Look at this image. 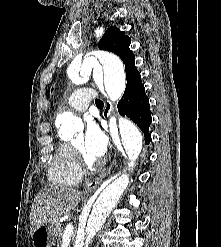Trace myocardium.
Listing matches in <instances>:
<instances>
[{
	"label": "myocardium",
	"mask_w": 221,
	"mask_h": 247,
	"mask_svg": "<svg viewBox=\"0 0 221 247\" xmlns=\"http://www.w3.org/2000/svg\"><path fill=\"white\" fill-rule=\"evenodd\" d=\"M72 147L74 148L77 156L79 157L80 163L86 170L92 171L98 166L99 162L97 160L85 155V153L77 146L73 145Z\"/></svg>",
	"instance_id": "1"
}]
</instances>
